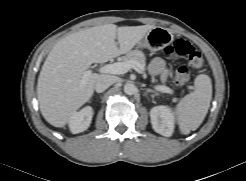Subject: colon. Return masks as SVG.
Instances as JSON below:
<instances>
[{"label":"colon","mask_w":246,"mask_h":181,"mask_svg":"<svg viewBox=\"0 0 246 181\" xmlns=\"http://www.w3.org/2000/svg\"><path fill=\"white\" fill-rule=\"evenodd\" d=\"M164 54L169 58L186 57L189 66L193 69H200L204 65V60L200 51L190 42L178 39L164 48ZM190 74L185 65H180L176 69L175 81L177 85L183 86L189 82Z\"/></svg>","instance_id":"colon-1"}]
</instances>
